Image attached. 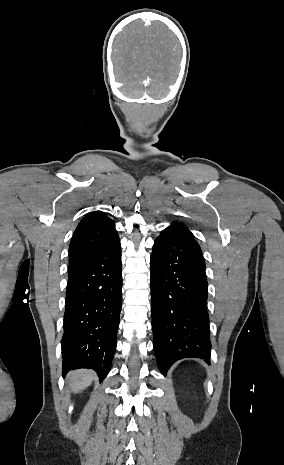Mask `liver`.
Wrapping results in <instances>:
<instances>
[{"label":"liver","instance_id":"1","mask_svg":"<svg viewBox=\"0 0 284 465\" xmlns=\"http://www.w3.org/2000/svg\"><path fill=\"white\" fill-rule=\"evenodd\" d=\"M93 375L91 371H72L69 375V381L72 385V391L74 393H80L86 387L91 385Z\"/></svg>","mask_w":284,"mask_h":465}]
</instances>
